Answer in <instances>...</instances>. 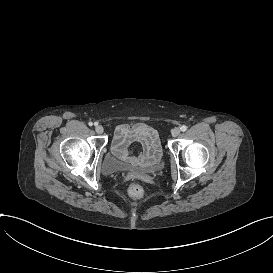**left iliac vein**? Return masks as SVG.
Returning <instances> with one entry per match:
<instances>
[{
  "mask_svg": "<svg viewBox=\"0 0 273 273\" xmlns=\"http://www.w3.org/2000/svg\"><path fill=\"white\" fill-rule=\"evenodd\" d=\"M171 133L173 137H177L180 134V129L178 127H175Z\"/></svg>",
  "mask_w": 273,
  "mask_h": 273,
  "instance_id": "4c4485c4",
  "label": "left iliac vein"
}]
</instances>
